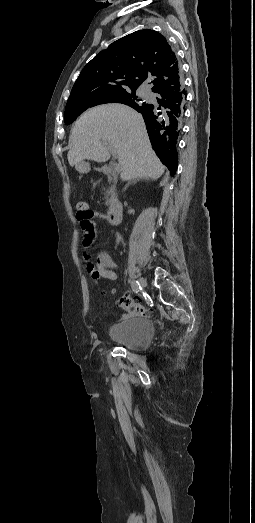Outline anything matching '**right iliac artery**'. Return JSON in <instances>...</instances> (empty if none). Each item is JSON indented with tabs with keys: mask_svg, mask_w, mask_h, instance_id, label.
Listing matches in <instances>:
<instances>
[{
	"mask_svg": "<svg viewBox=\"0 0 255 523\" xmlns=\"http://www.w3.org/2000/svg\"><path fill=\"white\" fill-rule=\"evenodd\" d=\"M131 288L135 293H137L141 289V286L138 281L133 280L131 281Z\"/></svg>",
	"mask_w": 255,
	"mask_h": 523,
	"instance_id": "right-iliac-artery-1",
	"label": "right iliac artery"
}]
</instances>
